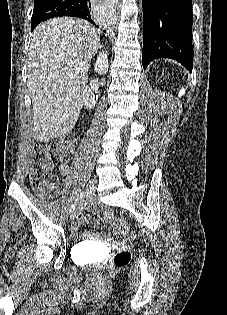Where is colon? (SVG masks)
<instances>
[{
	"instance_id": "obj_1",
	"label": "colon",
	"mask_w": 227,
	"mask_h": 315,
	"mask_svg": "<svg viewBox=\"0 0 227 315\" xmlns=\"http://www.w3.org/2000/svg\"><path fill=\"white\" fill-rule=\"evenodd\" d=\"M77 143V138L73 134L54 137L46 143H37L33 149L32 167L30 180L36 189H48L50 179L55 167L69 160ZM113 233L122 235L128 239L134 237L127 222L120 218H114L110 222ZM131 254L127 250H121L115 254L113 260L98 270L100 278H106L114 267H122L129 264Z\"/></svg>"
}]
</instances>
